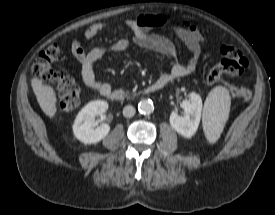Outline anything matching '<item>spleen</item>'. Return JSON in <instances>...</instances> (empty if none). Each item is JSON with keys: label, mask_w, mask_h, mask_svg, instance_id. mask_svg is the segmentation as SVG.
Returning <instances> with one entry per match:
<instances>
[{"label": "spleen", "mask_w": 275, "mask_h": 215, "mask_svg": "<svg viewBox=\"0 0 275 215\" xmlns=\"http://www.w3.org/2000/svg\"><path fill=\"white\" fill-rule=\"evenodd\" d=\"M229 91L222 86L213 88L204 104L203 128L209 143H215L228 119L230 111Z\"/></svg>", "instance_id": "spleen-1"}]
</instances>
